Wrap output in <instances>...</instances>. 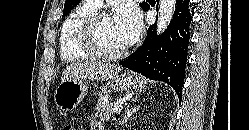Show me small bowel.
Here are the masks:
<instances>
[{
    "label": "small bowel",
    "instance_id": "1",
    "mask_svg": "<svg viewBox=\"0 0 249 130\" xmlns=\"http://www.w3.org/2000/svg\"><path fill=\"white\" fill-rule=\"evenodd\" d=\"M90 130H103V126L96 119L92 118L89 125Z\"/></svg>",
    "mask_w": 249,
    "mask_h": 130
}]
</instances>
